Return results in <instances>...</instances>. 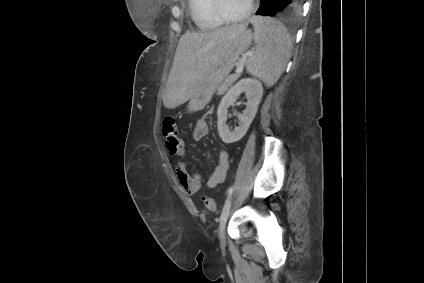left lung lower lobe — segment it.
<instances>
[{"label":"left lung lower lobe","instance_id":"obj_1","mask_svg":"<svg viewBox=\"0 0 424 283\" xmlns=\"http://www.w3.org/2000/svg\"><path fill=\"white\" fill-rule=\"evenodd\" d=\"M257 15L275 16L277 14L292 15L301 10L303 0H260Z\"/></svg>","mask_w":424,"mask_h":283}]
</instances>
